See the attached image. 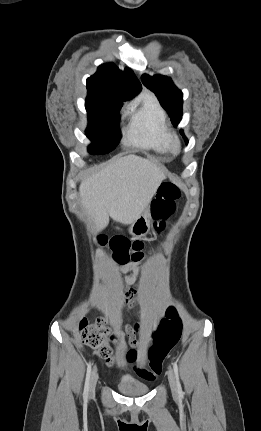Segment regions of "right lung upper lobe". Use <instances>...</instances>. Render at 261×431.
Masks as SVG:
<instances>
[{
	"mask_svg": "<svg viewBox=\"0 0 261 431\" xmlns=\"http://www.w3.org/2000/svg\"><path fill=\"white\" fill-rule=\"evenodd\" d=\"M141 88L131 69L125 68L121 71L113 63L99 66L97 72L87 79L89 91L112 94L124 100L130 99Z\"/></svg>",
	"mask_w": 261,
	"mask_h": 431,
	"instance_id": "obj_1",
	"label": "right lung upper lobe"
}]
</instances>
